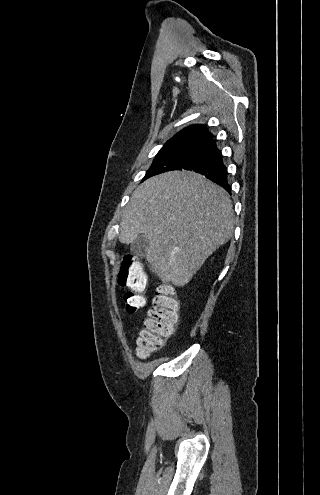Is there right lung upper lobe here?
Wrapping results in <instances>:
<instances>
[{
	"mask_svg": "<svg viewBox=\"0 0 320 495\" xmlns=\"http://www.w3.org/2000/svg\"><path fill=\"white\" fill-rule=\"evenodd\" d=\"M213 137V134L204 125L194 124L175 134L167 143L179 140H201L207 142Z\"/></svg>",
	"mask_w": 320,
	"mask_h": 495,
	"instance_id": "cb5924a9",
	"label": "right lung upper lobe"
}]
</instances>
